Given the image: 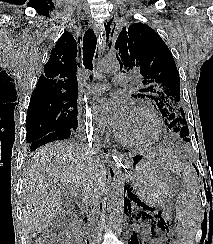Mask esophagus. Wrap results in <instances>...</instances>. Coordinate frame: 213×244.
<instances>
[{
  "instance_id": "1",
  "label": "esophagus",
  "mask_w": 213,
  "mask_h": 244,
  "mask_svg": "<svg viewBox=\"0 0 213 244\" xmlns=\"http://www.w3.org/2000/svg\"><path fill=\"white\" fill-rule=\"evenodd\" d=\"M94 30H95V32L98 33V30H99L98 26L95 25L94 26ZM107 44H108L107 43V39L104 38L103 41H102V46L99 47V52H98V56H97V63L101 62V57L106 51ZM111 151H112V156L113 157H117V156L119 157L120 156V153H119V151L116 148H113Z\"/></svg>"
}]
</instances>
